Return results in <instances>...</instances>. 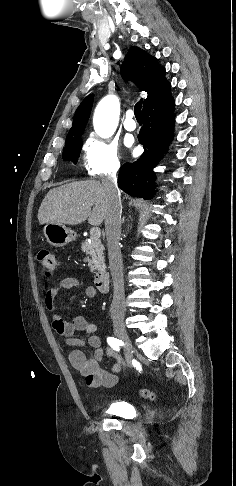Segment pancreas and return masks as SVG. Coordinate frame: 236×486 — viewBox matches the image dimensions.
I'll return each instance as SVG.
<instances>
[{"instance_id": "1", "label": "pancreas", "mask_w": 236, "mask_h": 486, "mask_svg": "<svg viewBox=\"0 0 236 486\" xmlns=\"http://www.w3.org/2000/svg\"><path fill=\"white\" fill-rule=\"evenodd\" d=\"M81 249L87 255L91 272L100 273L105 271L104 246L99 238L91 237V242H82Z\"/></svg>"}]
</instances>
